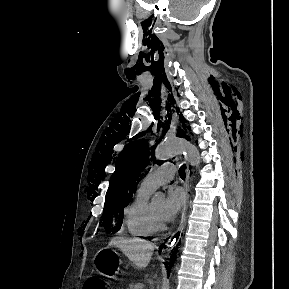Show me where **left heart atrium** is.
I'll list each match as a JSON object with an SVG mask.
<instances>
[{"instance_id": "1", "label": "left heart atrium", "mask_w": 289, "mask_h": 289, "mask_svg": "<svg viewBox=\"0 0 289 289\" xmlns=\"http://www.w3.org/2000/svg\"><path fill=\"white\" fill-rule=\"evenodd\" d=\"M185 202V193L180 188H172L168 191L164 201L163 219L172 221L179 213Z\"/></svg>"}]
</instances>
